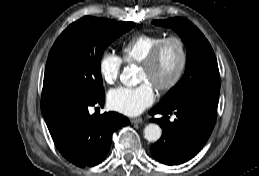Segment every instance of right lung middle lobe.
Returning <instances> with one entry per match:
<instances>
[{
	"mask_svg": "<svg viewBox=\"0 0 259 176\" xmlns=\"http://www.w3.org/2000/svg\"><path fill=\"white\" fill-rule=\"evenodd\" d=\"M134 22L85 16L70 24L52 46L44 74L42 96L104 94L100 61L104 50Z\"/></svg>",
	"mask_w": 259,
	"mask_h": 176,
	"instance_id": "obj_1",
	"label": "right lung middle lobe"
}]
</instances>
